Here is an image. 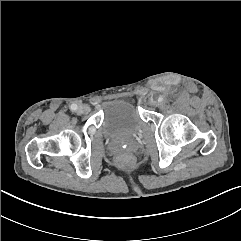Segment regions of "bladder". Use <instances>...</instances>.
I'll return each mask as SVG.
<instances>
[{
    "instance_id": "obj_1",
    "label": "bladder",
    "mask_w": 241,
    "mask_h": 241,
    "mask_svg": "<svg viewBox=\"0 0 241 241\" xmlns=\"http://www.w3.org/2000/svg\"><path fill=\"white\" fill-rule=\"evenodd\" d=\"M144 125L133 104L127 100H112L102 108L100 130L106 139L131 142L141 134Z\"/></svg>"
}]
</instances>
